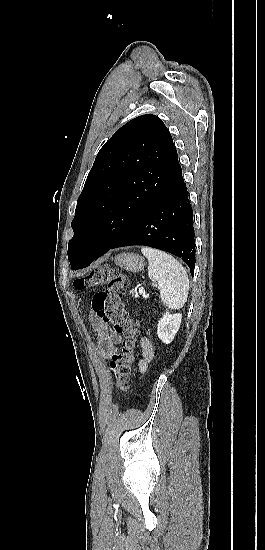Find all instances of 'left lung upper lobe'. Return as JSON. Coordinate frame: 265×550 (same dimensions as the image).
Here are the masks:
<instances>
[{"label":"left lung upper lobe","mask_w":265,"mask_h":550,"mask_svg":"<svg viewBox=\"0 0 265 550\" xmlns=\"http://www.w3.org/2000/svg\"><path fill=\"white\" fill-rule=\"evenodd\" d=\"M180 168L170 132L157 116H139L117 130L98 152L77 201L71 268L110 248Z\"/></svg>","instance_id":"1"}]
</instances>
